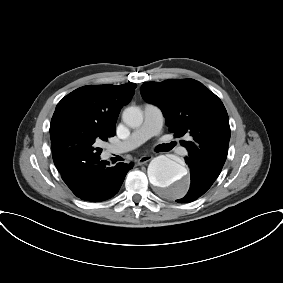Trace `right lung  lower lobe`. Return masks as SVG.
<instances>
[{"mask_svg":"<svg viewBox=\"0 0 283 283\" xmlns=\"http://www.w3.org/2000/svg\"><path fill=\"white\" fill-rule=\"evenodd\" d=\"M132 167V163H118L111 167L108 161L100 159V155H90L81 161L71 162L59 172L77 197L97 202L117 194Z\"/></svg>","mask_w":283,"mask_h":283,"instance_id":"98d812e1","label":"right lung lower lobe"}]
</instances>
